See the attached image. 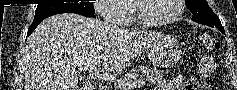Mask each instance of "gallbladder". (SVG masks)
I'll list each match as a JSON object with an SVG mask.
<instances>
[{"label": "gallbladder", "instance_id": "1", "mask_svg": "<svg viewBox=\"0 0 237 90\" xmlns=\"http://www.w3.org/2000/svg\"><path fill=\"white\" fill-rule=\"evenodd\" d=\"M84 88H86V90H90L89 86H84Z\"/></svg>", "mask_w": 237, "mask_h": 90}]
</instances>
